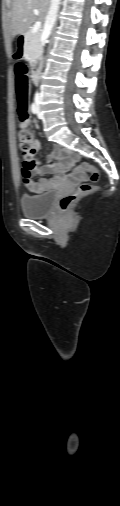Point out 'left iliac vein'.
Instances as JSON below:
<instances>
[{
  "label": "left iliac vein",
  "instance_id": "1",
  "mask_svg": "<svg viewBox=\"0 0 120 506\" xmlns=\"http://www.w3.org/2000/svg\"><path fill=\"white\" fill-rule=\"evenodd\" d=\"M37 113H38V117H39V118H42V116H41V114H40V110H39V108H38V112H37Z\"/></svg>",
  "mask_w": 120,
  "mask_h": 506
}]
</instances>
